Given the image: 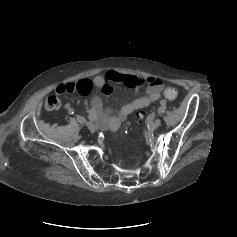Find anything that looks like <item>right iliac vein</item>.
Wrapping results in <instances>:
<instances>
[{
	"label": "right iliac vein",
	"instance_id": "63e3f726",
	"mask_svg": "<svg viewBox=\"0 0 237 237\" xmlns=\"http://www.w3.org/2000/svg\"><path fill=\"white\" fill-rule=\"evenodd\" d=\"M87 127L92 132L95 131V129H96V126L93 122H87Z\"/></svg>",
	"mask_w": 237,
	"mask_h": 237
}]
</instances>
